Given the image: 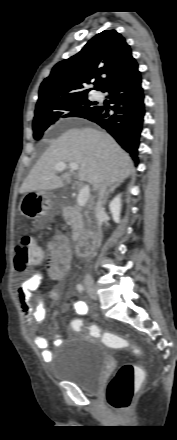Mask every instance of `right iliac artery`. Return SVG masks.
<instances>
[{
  "label": "right iliac artery",
  "mask_w": 177,
  "mask_h": 440,
  "mask_svg": "<svg viewBox=\"0 0 177 440\" xmlns=\"http://www.w3.org/2000/svg\"><path fill=\"white\" fill-rule=\"evenodd\" d=\"M77 290H78L79 292H83V291H84V287H83V285L78 284V285H77Z\"/></svg>",
  "instance_id": "1"
}]
</instances>
